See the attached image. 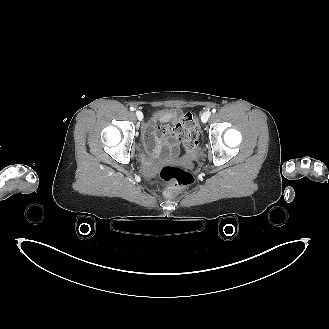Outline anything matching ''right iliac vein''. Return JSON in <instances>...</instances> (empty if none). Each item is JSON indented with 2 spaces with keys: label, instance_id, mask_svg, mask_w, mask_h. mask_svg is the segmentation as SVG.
<instances>
[{
  "label": "right iliac vein",
  "instance_id": "63e3f726",
  "mask_svg": "<svg viewBox=\"0 0 329 329\" xmlns=\"http://www.w3.org/2000/svg\"><path fill=\"white\" fill-rule=\"evenodd\" d=\"M136 116H137L138 120H140V121L143 119V113L139 110L136 111Z\"/></svg>",
  "mask_w": 329,
  "mask_h": 329
}]
</instances>
